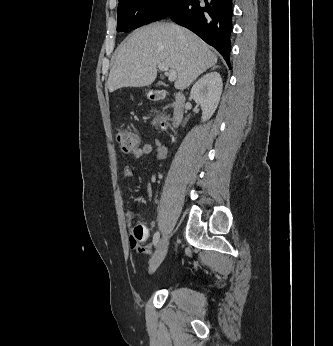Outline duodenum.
Wrapping results in <instances>:
<instances>
[{
    "label": "duodenum",
    "instance_id": "obj_1",
    "mask_svg": "<svg viewBox=\"0 0 333 346\" xmlns=\"http://www.w3.org/2000/svg\"><path fill=\"white\" fill-rule=\"evenodd\" d=\"M165 97L164 91H155L151 95L153 100H161ZM186 98L185 95L178 91L174 94L173 101V114H172V129L176 128L182 121L184 116V108H185Z\"/></svg>",
    "mask_w": 333,
    "mask_h": 346
}]
</instances>
